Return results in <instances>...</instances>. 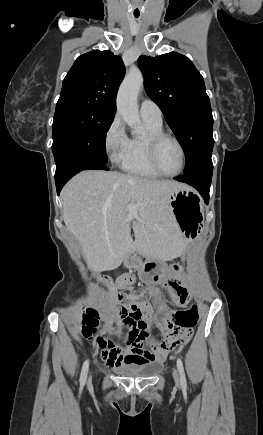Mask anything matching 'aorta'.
<instances>
[{
	"mask_svg": "<svg viewBox=\"0 0 263 435\" xmlns=\"http://www.w3.org/2000/svg\"><path fill=\"white\" fill-rule=\"evenodd\" d=\"M142 85V73L139 70L131 71L124 78L117 95V111L134 134L142 132L137 105V97Z\"/></svg>",
	"mask_w": 263,
	"mask_h": 435,
	"instance_id": "aorta-1",
	"label": "aorta"
}]
</instances>
